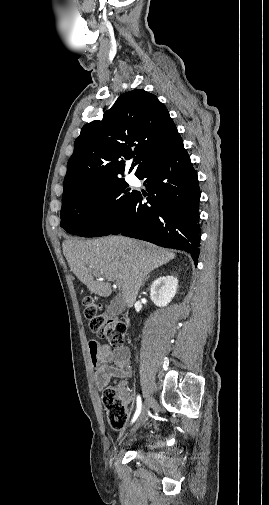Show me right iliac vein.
Masks as SVG:
<instances>
[{
	"instance_id": "obj_1",
	"label": "right iliac vein",
	"mask_w": 269,
	"mask_h": 505,
	"mask_svg": "<svg viewBox=\"0 0 269 505\" xmlns=\"http://www.w3.org/2000/svg\"><path fill=\"white\" fill-rule=\"evenodd\" d=\"M152 402H153L152 397L149 395L146 396L145 401H144V405L142 407L141 415H140L139 419L137 420V422L135 423V425L133 426L132 432H135L140 427V425L144 422V420L147 416V412L152 405Z\"/></svg>"
}]
</instances>
